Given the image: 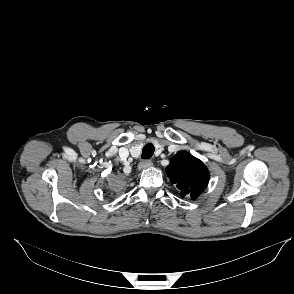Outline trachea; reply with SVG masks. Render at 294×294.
<instances>
[{
  "mask_svg": "<svg viewBox=\"0 0 294 294\" xmlns=\"http://www.w3.org/2000/svg\"><path fill=\"white\" fill-rule=\"evenodd\" d=\"M154 150H155V148H154V146L152 144H150V143L149 144H146L143 147V152H142L141 157L143 159H149V158H151L153 156V154H154Z\"/></svg>",
  "mask_w": 294,
  "mask_h": 294,
  "instance_id": "obj_1",
  "label": "trachea"
}]
</instances>
